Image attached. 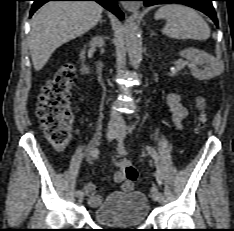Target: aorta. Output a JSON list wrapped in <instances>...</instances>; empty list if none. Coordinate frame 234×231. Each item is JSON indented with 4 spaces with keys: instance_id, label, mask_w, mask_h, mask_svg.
Wrapping results in <instances>:
<instances>
[{
    "instance_id": "1",
    "label": "aorta",
    "mask_w": 234,
    "mask_h": 231,
    "mask_svg": "<svg viewBox=\"0 0 234 231\" xmlns=\"http://www.w3.org/2000/svg\"><path fill=\"white\" fill-rule=\"evenodd\" d=\"M124 39L131 64L134 69H138L142 59L141 32L132 18L126 22Z\"/></svg>"
}]
</instances>
